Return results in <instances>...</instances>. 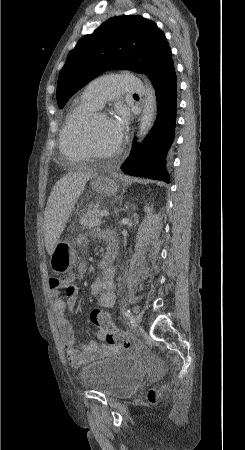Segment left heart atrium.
<instances>
[{
	"label": "left heart atrium",
	"instance_id": "1",
	"mask_svg": "<svg viewBox=\"0 0 245 450\" xmlns=\"http://www.w3.org/2000/svg\"><path fill=\"white\" fill-rule=\"evenodd\" d=\"M128 126V115L126 111L120 110L113 119L109 120V129L112 137L119 145L122 143Z\"/></svg>",
	"mask_w": 245,
	"mask_h": 450
}]
</instances>
